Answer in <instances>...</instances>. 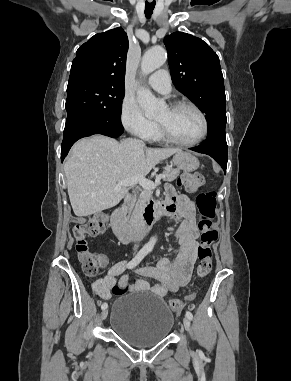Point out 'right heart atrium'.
<instances>
[{
  "instance_id": "d8ad5b80",
  "label": "right heart atrium",
  "mask_w": 291,
  "mask_h": 381,
  "mask_svg": "<svg viewBox=\"0 0 291 381\" xmlns=\"http://www.w3.org/2000/svg\"><path fill=\"white\" fill-rule=\"evenodd\" d=\"M120 119L126 130L142 139H150L156 131V124L146 118L137 103L129 97L122 101Z\"/></svg>"
}]
</instances>
